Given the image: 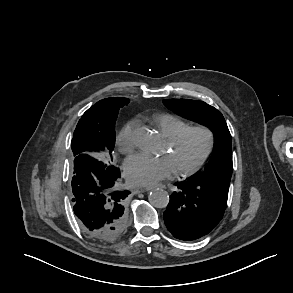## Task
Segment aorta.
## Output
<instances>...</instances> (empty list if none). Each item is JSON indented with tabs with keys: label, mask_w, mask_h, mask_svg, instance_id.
Here are the masks:
<instances>
[{
	"label": "aorta",
	"mask_w": 293,
	"mask_h": 293,
	"mask_svg": "<svg viewBox=\"0 0 293 293\" xmlns=\"http://www.w3.org/2000/svg\"><path fill=\"white\" fill-rule=\"evenodd\" d=\"M135 144L144 152H151L155 149L157 139L148 129H140L135 134ZM149 202L156 208H165L169 203V195L163 189H155L148 196Z\"/></svg>",
	"instance_id": "762f6f07"
}]
</instances>
